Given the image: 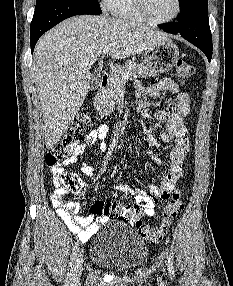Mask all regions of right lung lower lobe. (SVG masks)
I'll return each instance as SVG.
<instances>
[{"mask_svg":"<svg viewBox=\"0 0 233 286\" xmlns=\"http://www.w3.org/2000/svg\"><path fill=\"white\" fill-rule=\"evenodd\" d=\"M83 14L100 15L101 13L73 0H52L43 9L34 12L30 27L32 53L38 39L46 31L71 16Z\"/></svg>","mask_w":233,"mask_h":286,"instance_id":"1","label":"right lung lower lobe"}]
</instances>
